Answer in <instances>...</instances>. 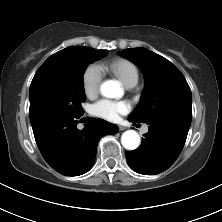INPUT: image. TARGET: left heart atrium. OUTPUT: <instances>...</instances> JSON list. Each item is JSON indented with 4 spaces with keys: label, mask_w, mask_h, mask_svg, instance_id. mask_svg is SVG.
I'll use <instances>...</instances> for the list:
<instances>
[{
    "label": "left heart atrium",
    "mask_w": 222,
    "mask_h": 222,
    "mask_svg": "<svg viewBox=\"0 0 222 222\" xmlns=\"http://www.w3.org/2000/svg\"><path fill=\"white\" fill-rule=\"evenodd\" d=\"M130 109L131 105L128 101L104 98L92 105L91 112L93 115L108 121H117L121 115L128 113Z\"/></svg>",
    "instance_id": "39dd6f15"
}]
</instances>
